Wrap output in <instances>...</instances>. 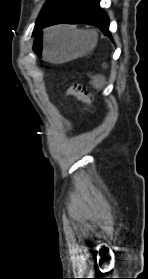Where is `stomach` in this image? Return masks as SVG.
Segmentation results:
<instances>
[{"label":"stomach","instance_id":"1","mask_svg":"<svg viewBox=\"0 0 148 279\" xmlns=\"http://www.w3.org/2000/svg\"><path fill=\"white\" fill-rule=\"evenodd\" d=\"M38 37L44 40L32 45L33 49H40L32 50V55H40L42 63H59L83 56L97 43L94 33L83 34L66 27H58L49 34H39Z\"/></svg>","mask_w":148,"mask_h":279}]
</instances>
